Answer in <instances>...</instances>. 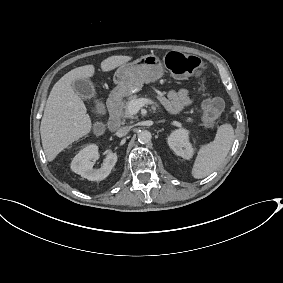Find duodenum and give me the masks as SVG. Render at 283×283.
<instances>
[{
	"label": "duodenum",
	"mask_w": 283,
	"mask_h": 283,
	"mask_svg": "<svg viewBox=\"0 0 283 283\" xmlns=\"http://www.w3.org/2000/svg\"><path fill=\"white\" fill-rule=\"evenodd\" d=\"M106 107L110 113V119L108 123L109 129L111 131H116L120 128V115L122 112L121 97L119 95H114Z\"/></svg>",
	"instance_id": "410a0bca"
}]
</instances>
